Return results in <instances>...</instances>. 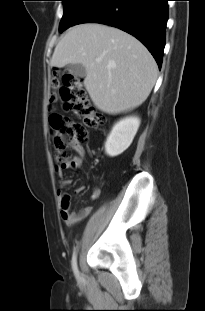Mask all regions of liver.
I'll list each match as a JSON object with an SVG mask.
<instances>
[{
	"mask_svg": "<svg viewBox=\"0 0 205 311\" xmlns=\"http://www.w3.org/2000/svg\"><path fill=\"white\" fill-rule=\"evenodd\" d=\"M50 63L57 68L82 64L91 100L108 114L141 105L155 85L158 72L154 58L135 37L99 23L70 28L56 45Z\"/></svg>",
	"mask_w": 205,
	"mask_h": 311,
	"instance_id": "liver-1",
	"label": "liver"
}]
</instances>
